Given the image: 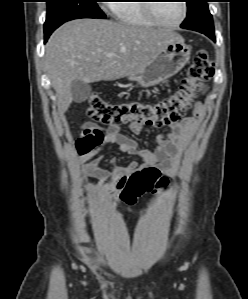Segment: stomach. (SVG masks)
Wrapping results in <instances>:
<instances>
[{"instance_id": "1", "label": "stomach", "mask_w": 248, "mask_h": 299, "mask_svg": "<svg viewBox=\"0 0 248 299\" xmlns=\"http://www.w3.org/2000/svg\"><path fill=\"white\" fill-rule=\"evenodd\" d=\"M191 48L184 41L168 44L142 70L129 75L128 79L142 87L158 85L178 73L189 61Z\"/></svg>"}]
</instances>
